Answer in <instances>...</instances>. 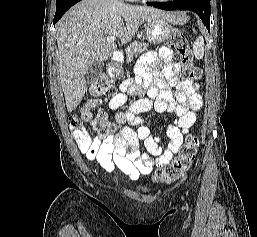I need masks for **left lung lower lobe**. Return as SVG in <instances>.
Instances as JSON below:
<instances>
[{"label": "left lung lower lobe", "mask_w": 257, "mask_h": 237, "mask_svg": "<svg viewBox=\"0 0 257 237\" xmlns=\"http://www.w3.org/2000/svg\"><path fill=\"white\" fill-rule=\"evenodd\" d=\"M148 6H153L163 10H190L198 14L204 25L210 30V0H173L172 2H148Z\"/></svg>", "instance_id": "left-lung-lower-lobe-1"}]
</instances>
